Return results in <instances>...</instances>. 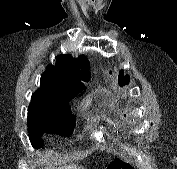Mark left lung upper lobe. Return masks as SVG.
Listing matches in <instances>:
<instances>
[{"instance_id":"5c2ea615","label":"left lung upper lobe","mask_w":177,"mask_h":169,"mask_svg":"<svg viewBox=\"0 0 177 169\" xmlns=\"http://www.w3.org/2000/svg\"><path fill=\"white\" fill-rule=\"evenodd\" d=\"M120 77V84H122V85H124V83H127L128 81H129V79H127L126 77H124V74L122 73V74H120L119 75ZM118 78V79H119Z\"/></svg>"}]
</instances>
